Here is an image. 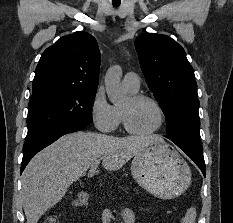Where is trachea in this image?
<instances>
[{
	"label": "trachea",
	"instance_id": "trachea-1",
	"mask_svg": "<svg viewBox=\"0 0 233 223\" xmlns=\"http://www.w3.org/2000/svg\"><path fill=\"white\" fill-rule=\"evenodd\" d=\"M115 7H118L119 6V4H113Z\"/></svg>",
	"mask_w": 233,
	"mask_h": 223
}]
</instances>
